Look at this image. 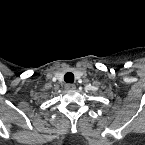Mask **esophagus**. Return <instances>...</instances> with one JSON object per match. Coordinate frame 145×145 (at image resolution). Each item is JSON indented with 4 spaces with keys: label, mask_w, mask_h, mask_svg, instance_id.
I'll list each match as a JSON object with an SVG mask.
<instances>
[{
    "label": "esophagus",
    "mask_w": 145,
    "mask_h": 145,
    "mask_svg": "<svg viewBox=\"0 0 145 145\" xmlns=\"http://www.w3.org/2000/svg\"><path fill=\"white\" fill-rule=\"evenodd\" d=\"M65 88L67 90H74L76 88V86L74 84L68 83L65 85Z\"/></svg>",
    "instance_id": "esophagus-1"
}]
</instances>
